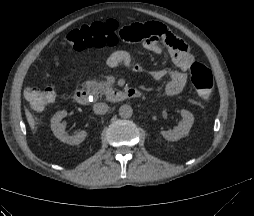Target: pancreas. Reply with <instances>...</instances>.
I'll return each mask as SVG.
<instances>
[{
  "label": "pancreas",
  "instance_id": "pancreas-1",
  "mask_svg": "<svg viewBox=\"0 0 254 216\" xmlns=\"http://www.w3.org/2000/svg\"><path fill=\"white\" fill-rule=\"evenodd\" d=\"M85 86L91 90L95 98L102 97L105 92L111 89V85L107 82L87 81Z\"/></svg>",
  "mask_w": 254,
  "mask_h": 216
}]
</instances>
